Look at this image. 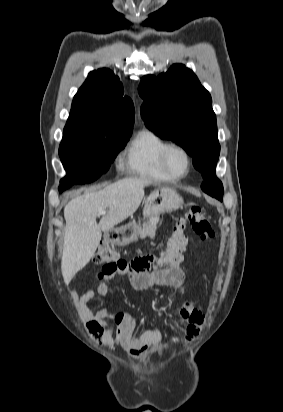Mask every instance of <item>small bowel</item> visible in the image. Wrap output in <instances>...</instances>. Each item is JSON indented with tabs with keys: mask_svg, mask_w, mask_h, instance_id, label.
<instances>
[{
	"mask_svg": "<svg viewBox=\"0 0 283 412\" xmlns=\"http://www.w3.org/2000/svg\"><path fill=\"white\" fill-rule=\"evenodd\" d=\"M116 275L126 276L129 285L137 291L147 290L154 285H173L185 293L188 269L179 254L163 270L154 269L152 273L126 270ZM116 275L102 276L95 289L85 290L77 300L78 309L84 320L101 326L103 338L108 344H119L129 355L140 358L149 348L157 347L161 343L159 328L154 326L136 334L137 323L130 313H113L106 306L94 312L89 307V303L96 295L102 300L107 299L109 283ZM180 316L188 322L184 329L185 338L193 340L204 324L203 305L197 306L186 300L180 308Z\"/></svg>",
	"mask_w": 283,
	"mask_h": 412,
	"instance_id": "1",
	"label": "small bowel"
}]
</instances>
